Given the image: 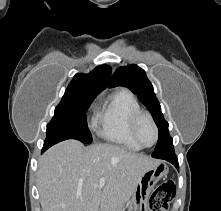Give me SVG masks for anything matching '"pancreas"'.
Here are the masks:
<instances>
[{"instance_id":"1","label":"pancreas","mask_w":221,"mask_h":211,"mask_svg":"<svg viewBox=\"0 0 221 211\" xmlns=\"http://www.w3.org/2000/svg\"><path fill=\"white\" fill-rule=\"evenodd\" d=\"M110 207L112 208L111 210L108 211H123L122 210V203L119 202H112L110 204ZM100 211H107L106 208H102Z\"/></svg>"}]
</instances>
